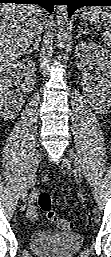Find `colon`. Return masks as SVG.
<instances>
[{
  "label": "colon",
  "mask_w": 111,
  "mask_h": 257,
  "mask_svg": "<svg viewBox=\"0 0 111 257\" xmlns=\"http://www.w3.org/2000/svg\"><path fill=\"white\" fill-rule=\"evenodd\" d=\"M38 205L46 213L47 218L63 231L73 229V223L67 219L59 217L52 208V199L48 192L42 191L38 195Z\"/></svg>",
  "instance_id": "5ec220e1"
}]
</instances>
